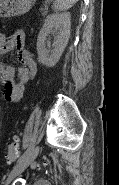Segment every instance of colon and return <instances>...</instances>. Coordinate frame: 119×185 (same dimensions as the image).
<instances>
[{"mask_svg":"<svg viewBox=\"0 0 119 185\" xmlns=\"http://www.w3.org/2000/svg\"><path fill=\"white\" fill-rule=\"evenodd\" d=\"M6 85H9V81L6 82ZM20 155L19 139L14 137L13 141L7 146L6 160L10 164L14 162Z\"/></svg>","mask_w":119,"mask_h":185,"instance_id":"obj_1","label":"colon"}]
</instances>
